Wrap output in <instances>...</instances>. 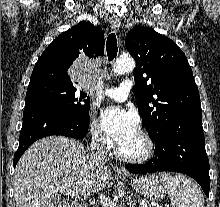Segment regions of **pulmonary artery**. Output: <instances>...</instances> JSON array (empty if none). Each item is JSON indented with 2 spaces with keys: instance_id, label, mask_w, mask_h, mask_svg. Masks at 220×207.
<instances>
[{
  "instance_id": "pulmonary-artery-1",
  "label": "pulmonary artery",
  "mask_w": 220,
  "mask_h": 207,
  "mask_svg": "<svg viewBox=\"0 0 220 207\" xmlns=\"http://www.w3.org/2000/svg\"><path fill=\"white\" fill-rule=\"evenodd\" d=\"M132 89V81L124 80L118 87H106L103 93L116 101H125Z\"/></svg>"
}]
</instances>
